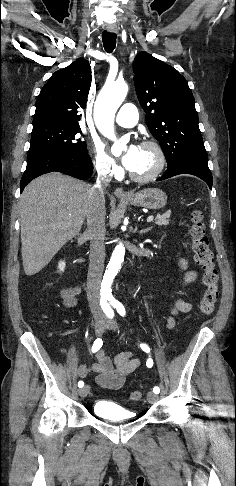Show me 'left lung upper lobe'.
Wrapping results in <instances>:
<instances>
[{
    "instance_id": "left-lung-upper-lobe-1",
    "label": "left lung upper lobe",
    "mask_w": 236,
    "mask_h": 486,
    "mask_svg": "<svg viewBox=\"0 0 236 486\" xmlns=\"http://www.w3.org/2000/svg\"><path fill=\"white\" fill-rule=\"evenodd\" d=\"M139 103L151 134L160 142L167 166L179 162L207 164L208 154L198 125L193 94L172 66L146 52L133 63Z\"/></svg>"
}]
</instances>
